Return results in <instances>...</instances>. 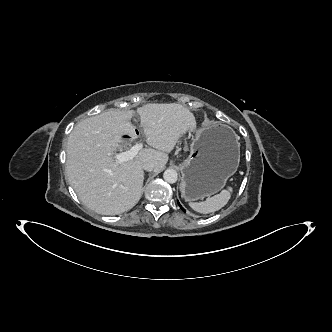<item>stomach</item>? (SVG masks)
<instances>
[{
  "label": "stomach",
  "instance_id": "0dacf381",
  "mask_svg": "<svg viewBox=\"0 0 332 332\" xmlns=\"http://www.w3.org/2000/svg\"><path fill=\"white\" fill-rule=\"evenodd\" d=\"M240 162L236 133L226 125L201 129L191 144L190 155L180 164L182 198L202 200L222 190Z\"/></svg>",
  "mask_w": 332,
  "mask_h": 332
}]
</instances>
